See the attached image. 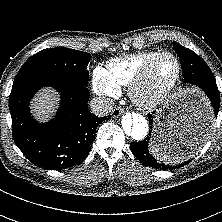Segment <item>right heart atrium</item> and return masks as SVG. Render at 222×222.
Returning a JSON list of instances; mask_svg holds the SVG:
<instances>
[{
	"mask_svg": "<svg viewBox=\"0 0 222 222\" xmlns=\"http://www.w3.org/2000/svg\"><path fill=\"white\" fill-rule=\"evenodd\" d=\"M92 85L94 92L105 101L116 98L120 93V89L110 81L106 70L100 67L93 71Z\"/></svg>",
	"mask_w": 222,
	"mask_h": 222,
	"instance_id": "obj_1",
	"label": "right heart atrium"
}]
</instances>
